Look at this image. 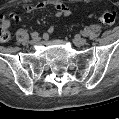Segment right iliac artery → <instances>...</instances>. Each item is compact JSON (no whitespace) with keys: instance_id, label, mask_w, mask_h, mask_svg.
I'll return each mask as SVG.
<instances>
[{"instance_id":"82829eb1","label":"right iliac artery","mask_w":119,"mask_h":119,"mask_svg":"<svg viewBox=\"0 0 119 119\" xmlns=\"http://www.w3.org/2000/svg\"><path fill=\"white\" fill-rule=\"evenodd\" d=\"M38 35H39V34H38L37 32H33V33L31 34V37H32V38H36V37H38Z\"/></svg>"}]
</instances>
